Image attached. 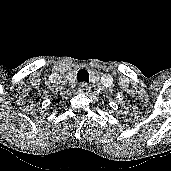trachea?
I'll list each match as a JSON object with an SVG mask.
<instances>
[{
    "instance_id": "trachea-1",
    "label": "trachea",
    "mask_w": 171,
    "mask_h": 171,
    "mask_svg": "<svg viewBox=\"0 0 171 171\" xmlns=\"http://www.w3.org/2000/svg\"><path fill=\"white\" fill-rule=\"evenodd\" d=\"M78 82H89V73L85 69H81L77 73Z\"/></svg>"
}]
</instances>
